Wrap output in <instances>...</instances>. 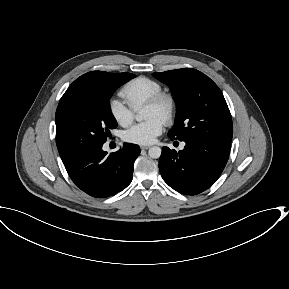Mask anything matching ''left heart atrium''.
<instances>
[{
	"label": "left heart atrium",
	"mask_w": 289,
	"mask_h": 289,
	"mask_svg": "<svg viewBox=\"0 0 289 289\" xmlns=\"http://www.w3.org/2000/svg\"><path fill=\"white\" fill-rule=\"evenodd\" d=\"M163 128V119L154 116L126 130L123 139L132 144L148 145L155 141L162 133Z\"/></svg>",
	"instance_id": "left-heart-atrium-1"
}]
</instances>
